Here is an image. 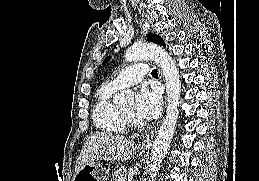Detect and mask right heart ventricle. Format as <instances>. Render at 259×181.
Wrapping results in <instances>:
<instances>
[{
  "mask_svg": "<svg viewBox=\"0 0 259 181\" xmlns=\"http://www.w3.org/2000/svg\"><path fill=\"white\" fill-rule=\"evenodd\" d=\"M119 88L111 83L103 84L96 92L92 109L95 126L104 132L123 133L126 129L120 109L113 103V95Z\"/></svg>",
  "mask_w": 259,
  "mask_h": 181,
  "instance_id": "1",
  "label": "right heart ventricle"
}]
</instances>
